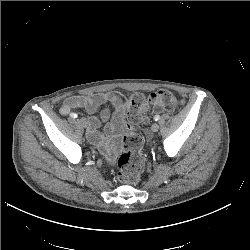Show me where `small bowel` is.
<instances>
[{
    "instance_id": "1",
    "label": "small bowel",
    "mask_w": 250,
    "mask_h": 250,
    "mask_svg": "<svg viewBox=\"0 0 250 250\" xmlns=\"http://www.w3.org/2000/svg\"><path fill=\"white\" fill-rule=\"evenodd\" d=\"M106 103H111L118 113H122L124 109V98L121 93L112 91L107 93H95L89 95H74L70 96L61 105L59 112L62 115L71 114L72 111L77 109H84L89 114L87 119L88 140L96 145L103 154L107 156L109 160L114 159V153L111 151L105 142L104 135L99 131L101 122H106L109 117V110L103 109L100 113V117L96 116V113ZM114 132V126L111 123L105 125V133L112 134Z\"/></svg>"
}]
</instances>
